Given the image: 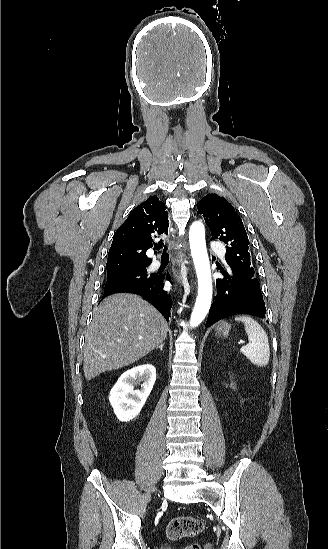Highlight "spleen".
Instances as JSON below:
<instances>
[{
	"mask_svg": "<svg viewBox=\"0 0 328 549\" xmlns=\"http://www.w3.org/2000/svg\"><path fill=\"white\" fill-rule=\"evenodd\" d=\"M235 321L244 323L249 341V345L242 347L240 353H243L246 359H249L250 363H253V365H257V367H266L270 359V347L264 329H262L257 321H254L251 317H247V315H238V317H235Z\"/></svg>",
	"mask_w": 328,
	"mask_h": 549,
	"instance_id": "spleen-1",
	"label": "spleen"
}]
</instances>
